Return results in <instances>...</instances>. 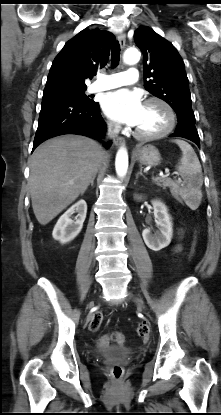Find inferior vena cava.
<instances>
[{
  "instance_id": "1",
  "label": "inferior vena cava",
  "mask_w": 221,
  "mask_h": 415,
  "mask_svg": "<svg viewBox=\"0 0 221 415\" xmlns=\"http://www.w3.org/2000/svg\"><path fill=\"white\" fill-rule=\"evenodd\" d=\"M107 127H108L107 134H106L107 139L113 138L116 134L119 133V131L121 129L120 124L115 123V122H109Z\"/></svg>"
}]
</instances>
